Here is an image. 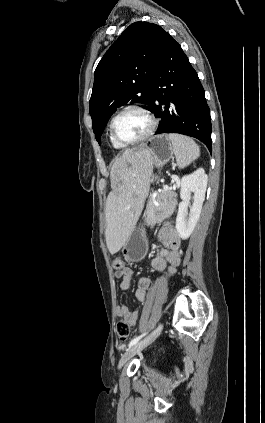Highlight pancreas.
Instances as JSON below:
<instances>
[{"label": "pancreas", "instance_id": "obj_1", "mask_svg": "<svg viewBox=\"0 0 265 423\" xmlns=\"http://www.w3.org/2000/svg\"><path fill=\"white\" fill-rule=\"evenodd\" d=\"M176 205L177 194L171 190H162L155 198L151 197L147 204L146 225L152 226L170 217L174 213Z\"/></svg>", "mask_w": 265, "mask_h": 423}]
</instances>
